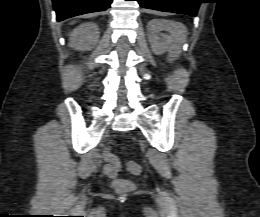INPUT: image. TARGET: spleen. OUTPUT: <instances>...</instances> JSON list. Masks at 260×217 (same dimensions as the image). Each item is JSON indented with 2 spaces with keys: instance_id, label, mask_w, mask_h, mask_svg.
Masks as SVG:
<instances>
[{
  "instance_id": "obj_1",
  "label": "spleen",
  "mask_w": 260,
  "mask_h": 217,
  "mask_svg": "<svg viewBox=\"0 0 260 217\" xmlns=\"http://www.w3.org/2000/svg\"><path fill=\"white\" fill-rule=\"evenodd\" d=\"M179 32L181 33V39L185 38V31L182 29H179Z\"/></svg>"
}]
</instances>
